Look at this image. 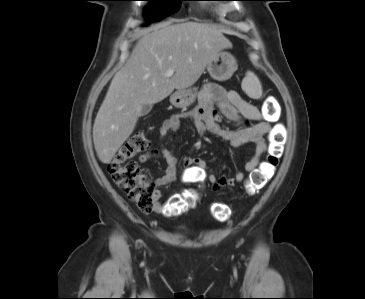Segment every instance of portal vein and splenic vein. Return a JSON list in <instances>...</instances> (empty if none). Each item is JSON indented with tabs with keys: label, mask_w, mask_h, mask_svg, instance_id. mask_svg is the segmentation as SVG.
Listing matches in <instances>:
<instances>
[{
	"label": "portal vein and splenic vein",
	"mask_w": 365,
	"mask_h": 299,
	"mask_svg": "<svg viewBox=\"0 0 365 299\" xmlns=\"http://www.w3.org/2000/svg\"><path fill=\"white\" fill-rule=\"evenodd\" d=\"M175 70L174 69H169L165 72V76L166 77H171L174 74Z\"/></svg>",
	"instance_id": "18ae733b"
}]
</instances>
